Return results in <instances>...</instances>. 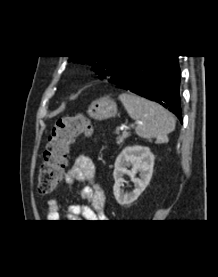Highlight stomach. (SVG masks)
Instances as JSON below:
<instances>
[{
	"label": "stomach",
	"instance_id": "0dacf381",
	"mask_svg": "<svg viewBox=\"0 0 218 277\" xmlns=\"http://www.w3.org/2000/svg\"><path fill=\"white\" fill-rule=\"evenodd\" d=\"M87 113L95 120H106L117 115V105L113 99L102 97L90 104Z\"/></svg>",
	"mask_w": 218,
	"mask_h": 277
}]
</instances>
